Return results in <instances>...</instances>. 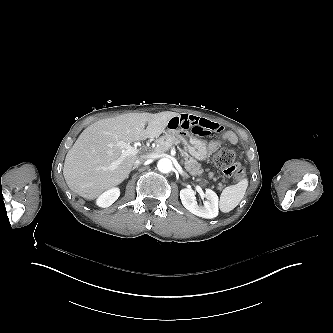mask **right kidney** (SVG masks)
Instances as JSON below:
<instances>
[{"mask_svg":"<svg viewBox=\"0 0 333 333\" xmlns=\"http://www.w3.org/2000/svg\"><path fill=\"white\" fill-rule=\"evenodd\" d=\"M119 197V190L112 189L104 193L98 200V204L101 207H108Z\"/></svg>","mask_w":333,"mask_h":333,"instance_id":"1","label":"right kidney"}]
</instances>
